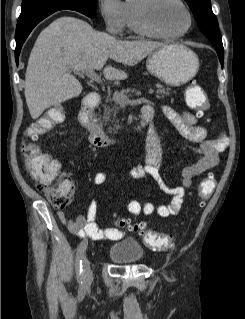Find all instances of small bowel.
<instances>
[{"instance_id":"c3829d8e","label":"small bowel","mask_w":245,"mask_h":319,"mask_svg":"<svg viewBox=\"0 0 245 319\" xmlns=\"http://www.w3.org/2000/svg\"><path fill=\"white\" fill-rule=\"evenodd\" d=\"M162 114L181 136L192 143L190 148L197 153L199 159L184 168L180 185H165L160 176L163 154L157 142V127L154 124L149 134V149L146 162L134 167L125 177L131 181L153 179L171 197L158 207H155L149 201L131 199L127 204V209L133 218H137L140 215L151 216L155 212L161 217L178 214L182 207L185 191L192 185L193 179L213 168L218 162L219 154L227 147L226 139L222 134L208 136L207 129L199 124L201 114H192L187 111L178 112L170 106H163ZM142 116H150V121L155 120L156 113L154 108L150 105L144 106ZM108 178L109 176L106 173H96L93 177V182L96 185H101ZM57 215L71 233L81 238L117 241L124 236V231L118 227L103 228L97 224V203L95 201L90 202L86 214H77L73 219H69L64 211H58Z\"/></svg>"}]
</instances>
